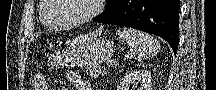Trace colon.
<instances>
[{
    "label": "colon",
    "mask_w": 216,
    "mask_h": 90,
    "mask_svg": "<svg viewBox=\"0 0 216 90\" xmlns=\"http://www.w3.org/2000/svg\"><path fill=\"white\" fill-rule=\"evenodd\" d=\"M46 81L42 73H37L32 80L31 90H46Z\"/></svg>",
    "instance_id": "obj_1"
}]
</instances>
